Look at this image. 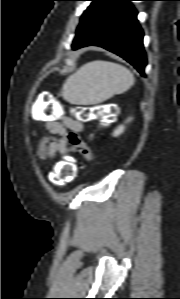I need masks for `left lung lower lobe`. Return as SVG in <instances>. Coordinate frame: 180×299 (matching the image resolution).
Segmentation results:
<instances>
[{"instance_id":"1","label":"left lung lower lobe","mask_w":180,"mask_h":299,"mask_svg":"<svg viewBox=\"0 0 180 299\" xmlns=\"http://www.w3.org/2000/svg\"><path fill=\"white\" fill-rule=\"evenodd\" d=\"M131 1L134 0H95L80 21L72 49L103 47L127 60L145 76L143 31Z\"/></svg>"}]
</instances>
